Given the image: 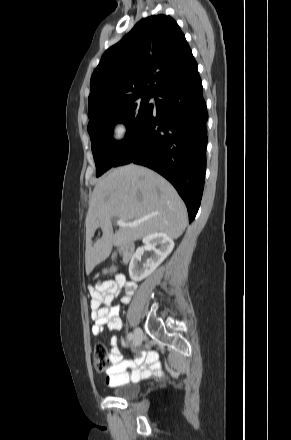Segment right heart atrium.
I'll return each mask as SVG.
<instances>
[{
  "label": "right heart atrium",
  "instance_id": "right-heart-atrium-1",
  "mask_svg": "<svg viewBox=\"0 0 291 440\" xmlns=\"http://www.w3.org/2000/svg\"><path fill=\"white\" fill-rule=\"evenodd\" d=\"M126 127L123 123H115L111 128V136L116 143H121L126 137Z\"/></svg>",
  "mask_w": 291,
  "mask_h": 440
}]
</instances>
